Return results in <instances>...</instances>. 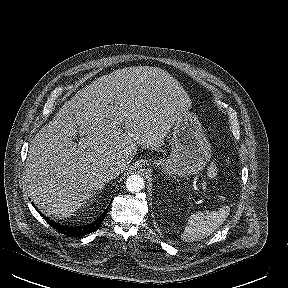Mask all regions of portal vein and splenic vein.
Returning a JSON list of instances; mask_svg holds the SVG:
<instances>
[{
	"label": "portal vein and splenic vein",
	"mask_w": 288,
	"mask_h": 288,
	"mask_svg": "<svg viewBox=\"0 0 288 288\" xmlns=\"http://www.w3.org/2000/svg\"><path fill=\"white\" fill-rule=\"evenodd\" d=\"M80 135H83V133H81ZM201 187H202V189H206L207 188V183H206L205 180H201ZM206 211H208V210H206Z\"/></svg>",
	"instance_id": "18ae733b"
}]
</instances>
